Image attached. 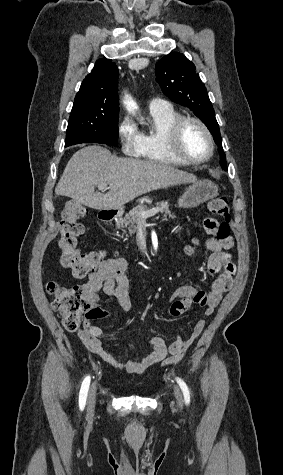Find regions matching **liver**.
<instances>
[{"label":"liver","mask_w":283,"mask_h":475,"mask_svg":"<svg viewBox=\"0 0 283 475\" xmlns=\"http://www.w3.org/2000/svg\"><path fill=\"white\" fill-rule=\"evenodd\" d=\"M196 176L169 164L117 158L101 146L82 148L70 158L56 188L57 196H68L76 204L94 210H120L134 198L180 184H194ZM109 186L107 194L95 186Z\"/></svg>","instance_id":"liver-1"}]
</instances>
